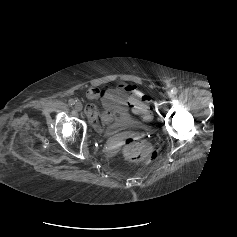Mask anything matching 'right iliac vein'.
I'll use <instances>...</instances> for the list:
<instances>
[{"label": "right iliac vein", "mask_w": 237, "mask_h": 237, "mask_svg": "<svg viewBox=\"0 0 237 237\" xmlns=\"http://www.w3.org/2000/svg\"><path fill=\"white\" fill-rule=\"evenodd\" d=\"M82 108H83V106H82V103H81V102H77V103L75 104V109H76L77 111H81Z\"/></svg>", "instance_id": "obj_1"}]
</instances>
